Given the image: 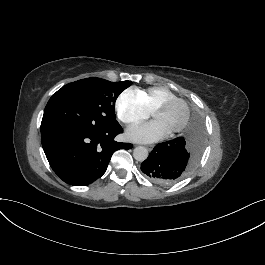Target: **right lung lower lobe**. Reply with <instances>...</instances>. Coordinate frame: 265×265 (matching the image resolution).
<instances>
[{"label":"right lung lower lobe","instance_id":"right-lung-lower-lobe-1","mask_svg":"<svg viewBox=\"0 0 265 265\" xmlns=\"http://www.w3.org/2000/svg\"><path fill=\"white\" fill-rule=\"evenodd\" d=\"M122 132L120 125L107 130L64 128L41 135V141L54 172L67 184L85 186L105 173L116 150L133 147L113 140Z\"/></svg>","mask_w":265,"mask_h":265}]
</instances>
